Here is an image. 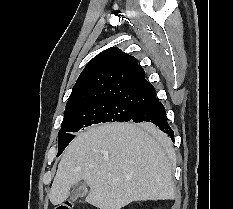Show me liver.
<instances>
[{
    "label": "liver",
    "instance_id": "liver-1",
    "mask_svg": "<svg viewBox=\"0 0 233 209\" xmlns=\"http://www.w3.org/2000/svg\"><path fill=\"white\" fill-rule=\"evenodd\" d=\"M157 139L165 135L156 127L134 123H107L79 133L58 165L51 203H63L82 180L90 188L86 202L99 209L174 199L171 163Z\"/></svg>",
    "mask_w": 233,
    "mask_h": 209
}]
</instances>
